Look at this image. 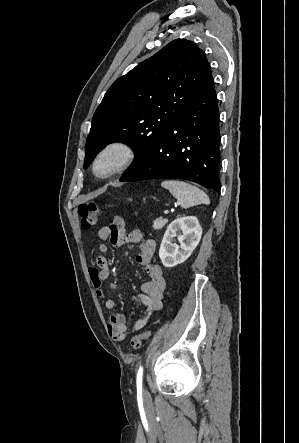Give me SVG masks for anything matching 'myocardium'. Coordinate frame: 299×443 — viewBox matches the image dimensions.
Returning a JSON list of instances; mask_svg holds the SVG:
<instances>
[{"mask_svg": "<svg viewBox=\"0 0 299 443\" xmlns=\"http://www.w3.org/2000/svg\"><path fill=\"white\" fill-rule=\"evenodd\" d=\"M136 152L127 142L113 140L103 145L91 163L92 174L101 180L126 170L135 160Z\"/></svg>", "mask_w": 299, "mask_h": 443, "instance_id": "f54148a6", "label": "myocardium"}]
</instances>
